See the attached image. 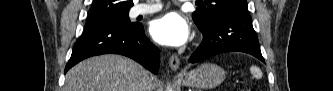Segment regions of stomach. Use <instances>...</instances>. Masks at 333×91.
Here are the masks:
<instances>
[{
  "label": "stomach",
  "instance_id": "1",
  "mask_svg": "<svg viewBox=\"0 0 333 91\" xmlns=\"http://www.w3.org/2000/svg\"><path fill=\"white\" fill-rule=\"evenodd\" d=\"M225 79V71L212 63H204L185 74L183 85L199 89H213Z\"/></svg>",
  "mask_w": 333,
  "mask_h": 91
}]
</instances>
